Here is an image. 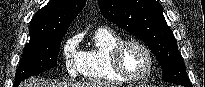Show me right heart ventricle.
Wrapping results in <instances>:
<instances>
[{
  "instance_id": "right-heart-ventricle-1",
  "label": "right heart ventricle",
  "mask_w": 205,
  "mask_h": 87,
  "mask_svg": "<svg viewBox=\"0 0 205 87\" xmlns=\"http://www.w3.org/2000/svg\"><path fill=\"white\" fill-rule=\"evenodd\" d=\"M121 37L108 28H98L91 35L85 50L81 52L80 74L85 80L97 84H122L110 65V53Z\"/></svg>"
}]
</instances>
